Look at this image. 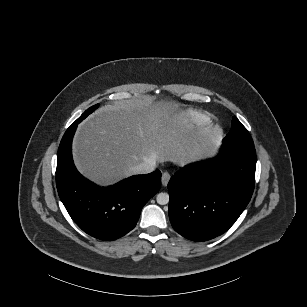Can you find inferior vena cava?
Instances as JSON below:
<instances>
[{
  "label": "inferior vena cava",
  "mask_w": 307,
  "mask_h": 307,
  "mask_svg": "<svg viewBox=\"0 0 307 307\" xmlns=\"http://www.w3.org/2000/svg\"><path fill=\"white\" fill-rule=\"evenodd\" d=\"M155 161L148 160L146 163H142L130 168L133 175L148 174L154 170Z\"/></svg>",
  "instance_id": "602c4592"
}]
</instances>
